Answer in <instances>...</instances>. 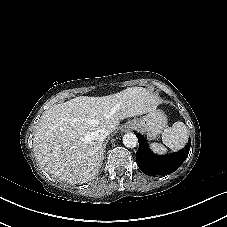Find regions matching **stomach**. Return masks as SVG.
I'll return each mask as SVG.
<instances>
[{
	"label": "stomach",
	"mask_w": 227,
	"mask_h": 227,
	"mask_svg": "<svg viewBox=\"0 0 227 227\" xmlns=\"http://www.w3.org/2000/svg\"><path fill=\"white\" fill-rule=\"evenodd\" d=\"M128 125L145 133L149 139H155L167 127V117L163 111L155 110L140 119L129 121Z\"/></svg>",
	"instance_id": "obj_1"
}]
</instances>
